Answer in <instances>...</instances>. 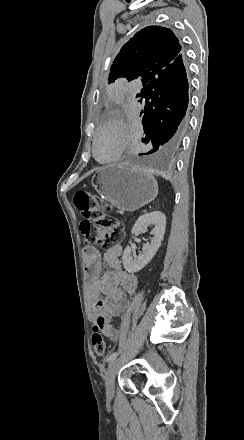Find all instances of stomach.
<instances>
[{
  "mask_svg": "<svg viewBox=\"0 0 244 440\" xmlns=\"http://www.w3.org/2000/svg\"><path fill=\"white\" fill-rule=\"evenodd\" d=\"M91 186L103 200L123 212L139 210L158 196V184L153 174L121 164L102 166L93 174Z\"/></svg>",
  "mask_w": 244,
  "mask_h": 440,
  "instance_id": "stomach-1",
  "label": "stomach"
}]
</instances>
